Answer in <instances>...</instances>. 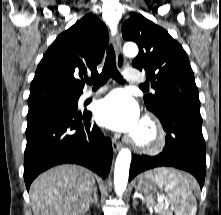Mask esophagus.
<instances>
[{"label":"esophagus","instance_id":"obj_1","mask_svg":"<svg viewBox=\"0 0 221 215\" xmlns=\"http://www.w3.org/2000/svg\"><path fill=\"white\" fill-rule=\"evenodd\" d=\"M112 42L114 44L115 53H116V62L119 70H122L125 66V58L122 54V46H121V36L119 32H116L112 35ZM112 147L114 152H117L121 148V143L116 139L112 140Z\"/></svg>","mask_w":221,"mask_h":215}]
</instances>
